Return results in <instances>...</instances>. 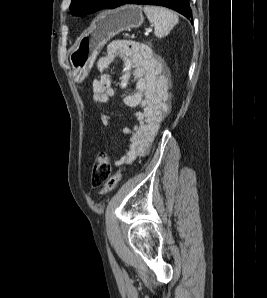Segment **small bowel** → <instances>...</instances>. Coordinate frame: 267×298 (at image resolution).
Here are the masks:
<instances>
[{"label":"small bowel","mask_w":267,"mask_h":298,"mask_svg":"<svg viewBox=\"0 0 267 298\" xmlns=\"http://www.w3.org/2000/svg\"><path fill=\"white\" fill-rule=\"evenodd\" d=\"M117 59L124 63L119 78L120 88L126 89L132 77L136 87L135 92L124 93L123 102L128 107L140 108L135 114L137 123L132 128H121L123 133L130 135V144L125 154L116 161L115 164L119 165L131 164L136 157L144 155L151 145L170 111L171 81L167 67L147 46L134 41H114L98 60L101 75L92 82V98L97 104H107L115 95L114 76L107 70ZM101 119L105 126H111L114 121L110 114H103Z\"/></svg>","instance_id":"c3829d8e"}]
</instances>
